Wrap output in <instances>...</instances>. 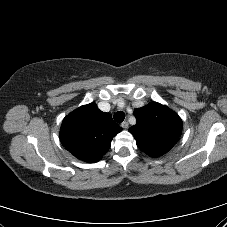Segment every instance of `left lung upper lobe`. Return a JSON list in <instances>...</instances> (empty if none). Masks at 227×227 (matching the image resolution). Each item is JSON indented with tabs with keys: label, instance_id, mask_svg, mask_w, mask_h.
Returning <instances> with one entry per match:
<instances>
[{
	"label": "left lung upper lobe",
	"instance_id": "obj_1",
	"mask_svg": "<svg viewBox=\"0 0 227 227\" xmlns=\"http://www.w3.org/2000/svg\"><path fill=\"white\" fill-rule=\"evenodd\" d=\"M137 123L129 128L137 146L150 157L167 153L182 133V120L174 111L157 102L134 110Z\"/></svg>",
	"mask_w": 227,
	"mask_h": 227
}]
</instances>
